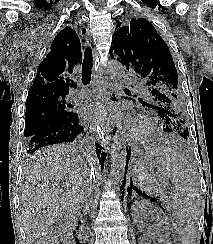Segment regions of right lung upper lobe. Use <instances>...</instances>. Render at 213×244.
I'll use <instances>...</instances> for the list:
<instances>
[{
  "mask_svg": "<svg viewBox=\"0 0 213 244\" xmlns=\"http://www.w3.org/2000/svg\"><path fill=\"white\" fill-rule=\"evenodd\" d=\"M81 43L75 30L66 27L54 38L50 52L40 63L28 97L67 95L77 84L70 80L74 66L81 64Z\"/></svg>",
  "mask_w": 213,
  "mask_h": 244,
  "instance_id": "obj_1",
  "label": "right lung upper lobe"
}]
</instances>
